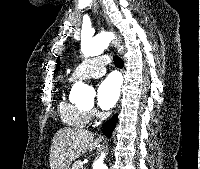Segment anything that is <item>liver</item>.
<instances>
[{"label":"liver","mask_w":200,"mask_h":169,"mask_svg":"<svg viewBox=\"0 0 200 169\" xmlns=\"http://www.w3.org/2000/svg\"><path fill=\"white\" fill-rule=\"evenodd\" d=\"M101 139H94V134L87 130L62 128L55 134L50 148V169H69L71 163L93 150Z\"/></svg>","instance_id":"obj_1"}]
</instances>
